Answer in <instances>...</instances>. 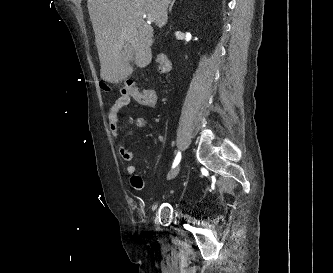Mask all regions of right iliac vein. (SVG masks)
<instances>
[{"instance_id":"obj_1","label":"right iliac vein","mask_w":333,"mask_h":273,"mask_svg":"<svg viewBox=\"0 0 333 273\" xmlns=\"http://www.w3.org/2000/svg\"><path fill=\"white\" fill-rule=\"evenodd\" d=\"M180 167L176 166L173 170H171L167 176V180L174 179L179 173Z\"/></svg>"}]
</instances>
